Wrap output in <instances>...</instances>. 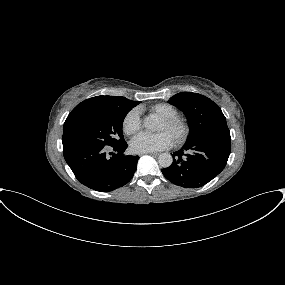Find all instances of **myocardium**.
I'll use <instances>...</instances> for the list:
<instances>
[{"label":"myocardium","mask_w":285,"mask_h":285,"mask_svg":"<svg viewBox=\"0 0 285 285\" xmlns=\"http://www.w3.org/2000/svg\"><path fill=\"white\" fill-rule=\"evenodd\" d=\"M160 121L173 131L172 138L177 144L184 143L189 137L190 124L185 118L176 115L172 117L161 118Z\"/></svg>","instance_id":"obj_1"}]
</instances>
